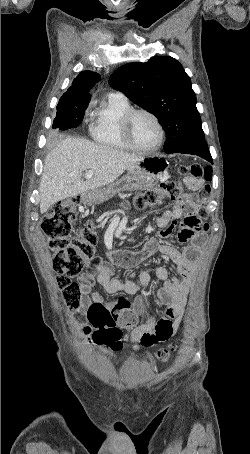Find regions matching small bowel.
<instances>
[{
    "label": "small bowel",
    "mask_w": 250,
    "mask_h": 454,
    "mask_svg": "<svg viewBox=\"0 0 250 454\" xmlns=\"http://www.w3.org/2000/svg\"><path fill=\"white\" fill-rule=\"evenodd\" d=\"M187 187L196 191L202 186V180L193 177L185 179ZM197 201L192 193L182 195L168 211L162 213L157 223L161 230L158 236L167 238L172 234L178 219L184 218L182 229L178 234L181 243H187L183 250L173 246L161 244L157 237L150 238L140 251L115 250L110 252V261H104L100 257H94L87 270L80 276L79 282L82 288L81 307L76 313L75 326L81 336L90 340L92 327L88 322L86 311L93 303L104 304L118 317L130 316L134 319V328L131 331V339L141 342L147 347L156 346L160 342L169 340L179 327L186 303L187 294L192 283L198 256L206 242V236L201 230L202 221L195 215ZM161 251L168 256L178 268V276L169 278V273L164 267L155 270L157 278L162 281V286L157 293V301L165 306L166 316L159 320L148 319L142 324L136 325L143 308L142 299L137 297L133 302L124 299L115 303H104L102 296L97 292H91L94 280L101 284L109 294L124 292L136 294L141 288L150 282L148 272L139 275V282L128 280L122 282L112 277L113 265L126 266L138 263Z\"/></svg>",
    "instance_id": "1"
}]
</instances>
